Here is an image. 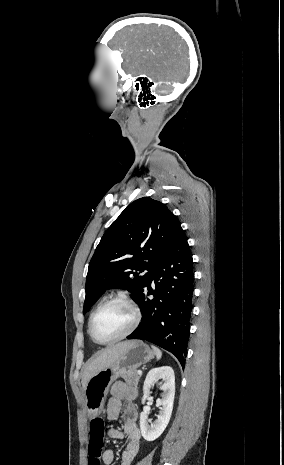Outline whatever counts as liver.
Listing matches in <instances>:
<instances>
[{
    "label": "liver",
    "instance_id": "1",
    "mask_svg": "<svg viewBox=\"0 0 284 465\" xmlns=\"http://www.w3.org/2000/svg\"><path fill=\"white\" fill-rule=\"evenodd\" d=\"M130 341H124V343H117V345H113V347H107L104 349L102 353H99L98 357H92L91 361H89L88 365L84 367L83 375H82V387L85 391L86 385L96 373L102 371V369H107L110 365H113L117 359H119L120 355L126 351Z\"/></svg>",
    "mask_w": 284,
    "mask_h": 465
}]
</instances>
